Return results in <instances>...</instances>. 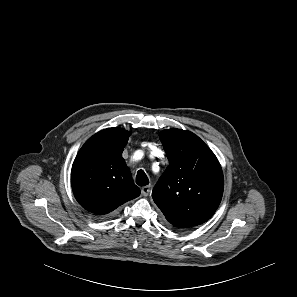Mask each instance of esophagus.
I'll use <instances>...</instances> for the list:
<instances>
[{
  "mask_svg": "<svg viewBox=\"0 0 297 297\" xmlns=\"http://www.w3.org/2000/svg\"><path fill=\"white\" fill-rule=\"evenodd\" d=\"M141 193L143 196H148L150 193V186H143L141 188Z\"/></svg>",
  "mask_w": 297,
  "mask_h": 297,
  "instance_id": "34e87169",
  "label": "esophagus"
}]
</instances>
